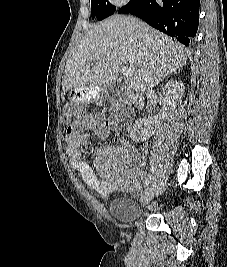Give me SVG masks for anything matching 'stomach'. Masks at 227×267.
<instances>
[{
	"instance_id": "0dacf381",
	"label": "stomach",
	"mask_w": 227,
	"mask_h": 267,
	"mask_svg": "<svg viewBox=\"0 0 227 267\" xmlns=\"http://www.w3.org/2000/svg\"><path fill=\"white\" fill-rule=\"evenodd\" d=\"M101 89L99 87L80 88L70 91V99L67 104H82L99 96Z\"/></svg>"
}]
</instances>
